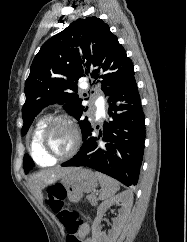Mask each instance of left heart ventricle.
Wrapping results in <instances>:
<instances>
[{
  "mask_svg": "<svg viewBox=\"0 0 187 242\" xmlns=\"http://www.w3.org/2000/svg\"><path fill=\"white\" fill-rule=\"evenodd\" d=\"M74 137L71 128L63 123L52 127L46 138V148L51 154L61 155L70 150Z\"/></svg>",
  "mask_w": 187,
  "mask_h": 242,
  "instance_id": "b2bd125f",
  "label": "left heart ventricle"
}]
</instances>
